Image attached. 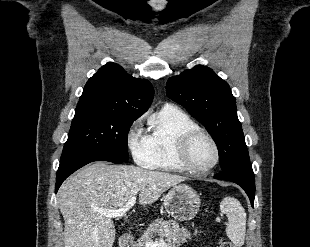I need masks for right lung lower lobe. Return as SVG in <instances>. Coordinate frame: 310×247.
Wrapping results in <instances>:
<instances>
[{"mask_svg":"<svg viewBox=\"0 0 310 247\" xmlns=\"http://www.w3.org/2000/svg\"><path fill=\"white\" fill-rule=\"evenodd\" d=\"M94 161H109L113 162L116 164H121L123 162L117 161L111 158L107 157H99V156H83V157H75V158H70L65 161H61L58 171H57V176H56V185H55V192L58 191L60 185L62 182L73 172L78 170L79 168L83 167L84 165L94 162Z\"/></svg>","mask_w":310,"mask_h":247,"instance_id":"right-lung-lower-lobe-1","label":"right lung lower lobe"}]
</instances>
